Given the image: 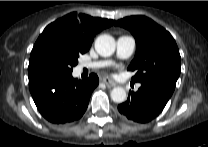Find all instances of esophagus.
Returning a JSON list of instances; mask_svg holds the SVG:
<instances>
[{
	"label": "esophagus",
	"instance_id": "34e87169",
	"mask_svg": "<svg viewBox=\"0 0 208 147\" xmlns=\"http://www.w3.org/2000/svg\"><path fill=\"white\" fill-rule=\"evenodd\" d=\"M102 82L105 83L107 86L109 87H114L117 85L116 82H114L112 79L108 78V77H105L102 79Z\"/></svg>",
	"mask_w": 208,
	"mask_h": 147
}]
</instances>
